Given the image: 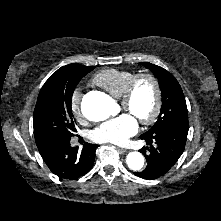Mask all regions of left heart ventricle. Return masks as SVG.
I'll return each mask as SVG.
<instances>
[{
    "label": "left heart ventricle",
    "instance_id": "1",
    "mask_svg": "<svg viewBox=\"0 0 221 221\" xmlns=\"http://www.w3.org/2000/svg\"><path fill=\"white\" fill-rule=\"evenodd\" d=\"M154 106V89L148 80H141L135 87L132 100L128 106L121 109L132 114L136 118L147 117Z\"/></svg>",
    "mask_w": 221,
    "mask_h": 221
}]
</instances>
